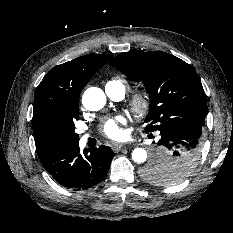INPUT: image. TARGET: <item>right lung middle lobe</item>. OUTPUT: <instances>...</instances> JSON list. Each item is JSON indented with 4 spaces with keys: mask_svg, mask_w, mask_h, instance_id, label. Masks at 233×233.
Returning <instances> with one entry per match:
<instances>
[{
    "mask_svg": "<svg viewBox=\"0 0 233 233\" xmlns=\"http://www.w3.org/2000/svg\"><path fill=\"white\" fill-rule=\"evenodd\" d=\"M78 118L79 110L73 108L44 121L39 130V152L60 151L79 144V135L74 131Z\"/></svg>",
    "mask_w": 233,
    "mask_h": 233,
    "instance_id": "obj_1",
    "label": "right lung middle lobe"
}]
</instances>
